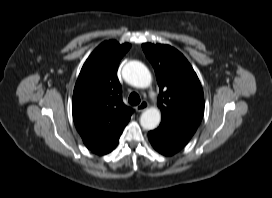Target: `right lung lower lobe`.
<instances>
[{
  "instance_id": "right-lung-lower-lobe-1",
  "label": "right lung lower lobe",
  "mask_w": 272,
  "mask_h": 198,
  "mask_svg": "<svg viewBox=\"0 0 272 198\" xmlns=\"http://www.w3.org/2000/svg\"><path fill=\"white\" fill-rule=\"evenodd\" d=\"M128 121L122 124L103 144L91 149L92 152L98 155H104L111 152L117 146L119 137Z\"/></svg>"
}]
</instances>
